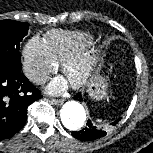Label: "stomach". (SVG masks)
<instances>
[{
  "mask_svg": "<svg viewBox=\"0 0 153 153\" xmlns=\"http://www.w3.org/2000/svg\"><path fill=\"white\" fill-rule=\"evenodd\" d=\"M107 84L102 78H96L88 85V94L92 99L101 100L106 97Z\"/></svg>",
  "mask_w": 153,
  "mask_h": 153,
  "instance_id": "stomach-1",
  "label": "stomach"
}]
</instances>
